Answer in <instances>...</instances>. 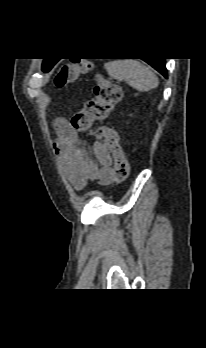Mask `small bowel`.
Here are the masks:
<instances>
[{
	"label": "small bowel",
	"instance_id": "c3829d8e",
	"mask_svg": "<svg viewBox=\"0 0 206 348\" xmlns=\"http://www.w3.org/2000/svg\"><path fill=\"white\" fill-rule=\"evenodd\" d=\"M57 138L54 143L64 176L77 189L85 188L89 180L107 185L115 180L112 158L104 143L95 141L92 151L95 161L89 158L88 152L66 119L54 122Z\"/></svg>",
	"mask_w": 206,
	"mask_h": 348
}]
</instances>
